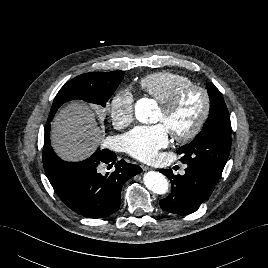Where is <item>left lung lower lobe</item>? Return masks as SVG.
I'll use <instances>...</instances> for the list:
<instances>
[{
  "instance_id": "0a47b994",
  "label": "left lung lower lobe",
  "mask_w": 268,
  "mask_h": 268,
  "mask_svg": "<svg viewBox=\"0 0 268 268\" xmlns=\"http://www.w3.org/2000/svg\"><path fill=\"white\" fill-rule=\"evenodd\" d=\"M185 171L183 176H175L171 169L160 170L172 184L169 196L159 202L163 210L180 215L193 213L212 193L219 179L200 166L188 165Z\"/></svg>"
}]
</instances>
